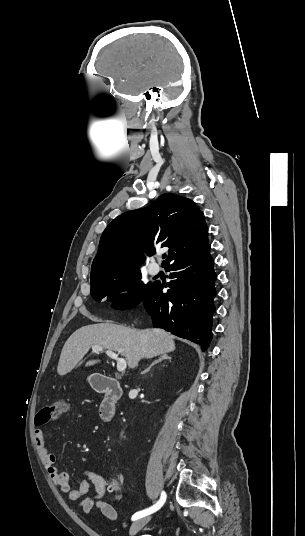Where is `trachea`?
Returning a JSON list of instances; mask_svg holds the SVG:
<instances>
[{
    "label": "trachea",
    "instance_id": "1",
    "mask_svg": "<svg viewBox=\"0 0 305 536\" xmlns=\"http://www.w3.org/2000/svg\"><path fill=\"white\" fill-rule=\"evenodd\" d=\"M163 258H166V255H163Z\"/></svg>",
    "mask_w": 305,
    "mask_h": 536
}]
</instances>
